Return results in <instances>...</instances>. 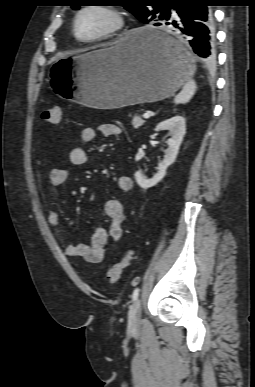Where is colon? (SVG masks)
<instances>
[{
	"label": "colon",
	"instance_id": "obj_1",
	"mask_svg": "<svg viewBox=\"0 0 255 387\" xmlns=\"http://www.w3.org/2000/svg\"><path fill=\"white\" fill-rule=\"evenodd\" d=\"M62 108L54 105L42 113V119L51 124H59L62 120ZM133 258V251L127 249L123 252L121 259L112 265L106 273V279L109 284H115L121 278L123 271L130 264Z\"/></svg>",
	"mask_w": 255,
	"mask_h": 387
}]
</instances>
